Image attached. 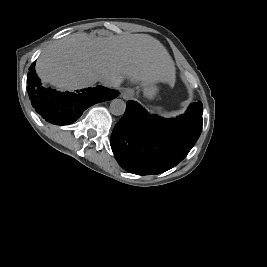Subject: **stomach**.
Masks as SVG:
<instances>
[{
    "label": "stomach",
    "instance_id": "0dacf381",
    "mask_svg": "<svg viewBox=\"0 0 267 267\" xmlns=\"http://www.w3.org/2000/svg\"><path fill=\"white\" fill-rule=\"evenodd\" d=\"M143 94L148 99H153L157 95L159 88L156 83L141 84ZM139 88H137L138 90Z\"/></svg>",
    "mask_w": 267,
    "mask_h": 267
}]
</instances>
